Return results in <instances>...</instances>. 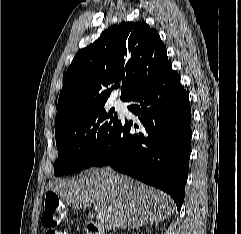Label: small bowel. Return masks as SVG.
Instances as JSON below:
<instances>
[{"instance_id": "c3829d8e", "label": "small bowel", "mask_w": 241, "mask_h": 234, "mask_svg": "<svg viewBox=\"0 0 241 234\" xmlns=\"http://www.w3.org/2000/svg\"><path fill=\"white\" fill-rule=\"evenodd\" d=\"M43 234H68L67 232L64 231H45Z\"/></svg>"}]
</instances>
